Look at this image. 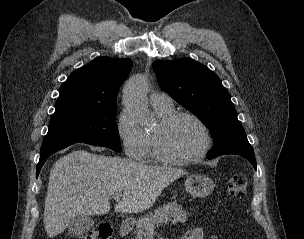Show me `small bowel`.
I'll return each instance as SVG.
<instances>
[{
	"label": "small bowel",
	"mask_w": 304,
	"mask_h": 239,
	"mask_svg": "<svg viewBox=\"0 0 304 239\" xmlns=\"http://www.w3.org/2000/svg\"><path fill=\"white\" fill-rule=\"evenodd\" d=\"M204 234L200 228H191L187 230L181 239H203Z\"/></svg>",
	"instance_id": "1"
}]
</instances>
